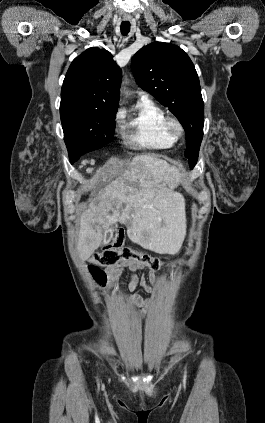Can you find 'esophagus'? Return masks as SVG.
I'll return each instance as SVG.
<instances>
[{
	"mask_svg": "<svg viewBox=\"0 0 265 423\" xmlns=\"http://www.w3.org/2000/svg\"><path fill=\"white\" fill-rule=\"evenodd\" d=\"M124 20H129V18L125 17Z\"/></svg>",
	"mask_w": 265,
	"mask_h": 423,
	"instance_id": "obj_1",
	"label": "esophagus"
}]
</instances>
